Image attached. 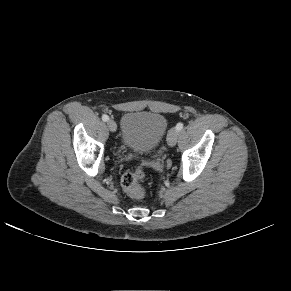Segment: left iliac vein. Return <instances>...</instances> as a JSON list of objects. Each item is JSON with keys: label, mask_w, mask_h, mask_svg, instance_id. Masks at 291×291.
Segmentation results:
<instances>
[{"label": "left iliac vein", "mask_w": 291, "mask_h": 291, "mask_svg": "<svg viewBox=\"0 0 291 291\" xmlns=\"http://www.w3.org/2000/svg\"><path fill=\"white\" fill-rule=\"evenodd\" d=\"M178 139V130L176 128H171L167 135V143L169 146L173 147Z\"/></svg>", "instance_id": "obj_1"}]
</instances>
